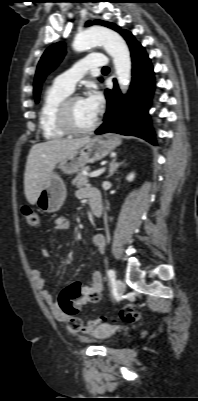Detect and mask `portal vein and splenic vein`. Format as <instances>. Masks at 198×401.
Masks as SVG:
<instances>
[{
	"instance_id": "portal-vein-and-splenic-vein-1",
	"label": "portal vein and splenic vein",
	"mask_w": 198,
	"mask_h": 401,
	"mask_svg": "<svg viewBox=\"0 0 198 401\" xmlns=\"http://www.w3.org/2000/svg\"><path fill=\"white\" fill-rule=\"evenodd\" d=\"M104 171H105V168H102V169H100V170H97V171H94V172L90 173L89 176H90L91 178L98 177V176H100Z\"/></svg>"
}]
</instances>
